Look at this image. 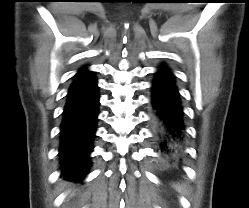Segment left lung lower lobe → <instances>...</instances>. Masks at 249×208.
Instances as JSON below:
<instances>
[{
  "label": "left lung lower lobe",
  "instance_id": "left-lung-lower-lobe-1",
  "mask_svg": "<svg viewBox=\"0 0 249 208\" xmlns=\"http://www.w3.org/2000/svg\"><path fill=\"white\" fill-rule=\"evenodd\" d=\"M150 117L165 162L177 168L184 150L185 125L174 75L166 66L159 68L153 81Z\"/></svg>",
  "mask_w": 249,
  "mask_h": 208
}]
</instances>
